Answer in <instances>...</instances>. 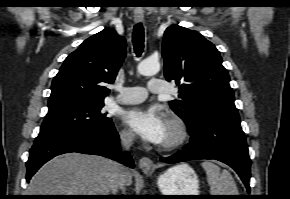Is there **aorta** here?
Instances as JSON below:
<instances>
[{"label":"aorta","mask_w":290,"mask_h":199,"mask_svg":"<svg viewBox=\"0 0 290 199\" xmlns=\"http://www.w3.org/2000/svg\"><path fill=\"white\" fill-rule=\"evenodd\" d=\"M138 73L144 76H153L160 71V63L156 59H146L137 67Z\"/></svg>","instance_id":"aorta-1"}]
</instances>
